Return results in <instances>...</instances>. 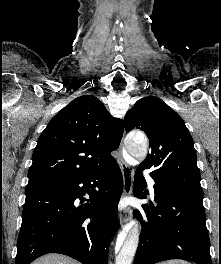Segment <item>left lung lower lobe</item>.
<instances>
[{
	"label": "left lung lower lobe",
	"mask_w": 221,
	"mask_h": 264,
	"mask_svg": "<svg viewBox=\"0 0 221 264\" xmlns=\"http://www.w3.org/2000/svg\"><path fill=\"white\" fill-rule=\"evenodd\" d=\"M133 186L134 195L144 199L147 183L140 168L135 173ZM154 192L156 207L144 204V212L134 211L142 230L133 264H155L169 259L212 264L203 195L158 181Z\"/></svg>",
	"instance_id": "0a47b994"
}]
</instances>
